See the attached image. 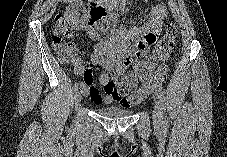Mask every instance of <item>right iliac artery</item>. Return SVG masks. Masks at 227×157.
<instances>
[{
	"label": "right iliac artery",
	"mask_w": 227,
	"mask_h": 157,
	"mask_svg": "<svg viewBox=\"0 0 227 157\" xmlns=\"http://www.w3.org/2000/svg\"><path fill=\"white\" fill-rule=\"evenodd\" d=\"M73 91L75 92L76 90H78V83H75L72 87Z\"/></svg>",
	"instance_id": "obj_1"
}]
</instances>
